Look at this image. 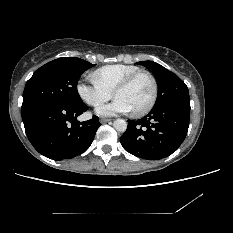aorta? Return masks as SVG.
Wrapping results in <instances>:
<instances>
[{
    "label": "aorta",
    "mask_w": 233,
    "mask_h": 233,
    "mask_svg": "<svg viewBox=\"0 0 233 233\" xmlns=\"http://www.w3.org/2000/svg\"><path fill=\"white\" fill-rule=\"evenodd\" d=\"M113 126L117 131L124 132L127 129V122L123 119H116Z\"/></svg>",
    "instance_id": "762f6f07"
}]
</instances>
